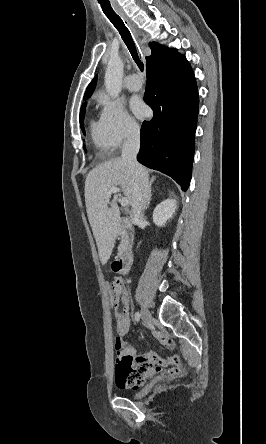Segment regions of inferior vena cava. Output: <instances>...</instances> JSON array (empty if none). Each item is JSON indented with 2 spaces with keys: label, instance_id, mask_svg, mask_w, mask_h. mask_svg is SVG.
Segmentation results:
<instances>
[{
  "label": "inferior vena cava",
  "instance_id": "inferior-vena-cava-1",
  "mask_svg": "<svg viewBox=\"0 0 266 444\" xmlns=\"http://www.w3.org/2000/svg\"><path fill=\"white\" fill-rule=\"evenodd\" d=\"M140 148V130L138 126H131L127 133L122 149V159L125 160L135 179L133 191V203L131 209V218L133 221L141 220L146 208L150 184L143 171V167L137 162V154Z\"/></svg>",
  "mask_w": 266,
  "mask_h": 444
}]
</instances>
